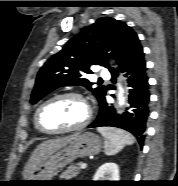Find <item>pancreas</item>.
I'll list each match as a JSON object with an SVG mask.
<instances>
[{"mask_svg": "<svg viewBox=\"0 0 178 186\" xmlns=\"http://www.w3.org/2000/svg\"><path fill=\"white\" fill-rule=\"evenodd\" d=\"M81 162L75 164V165H70L69 167H67V169L60 175L61 179H71L76 177L79 172H80V166H81Z\"/></svg>", "mask_w": 178, "mask_h": 186, "instance_id": "pancreas-1", "label": "pancreas"}]
</instances>
